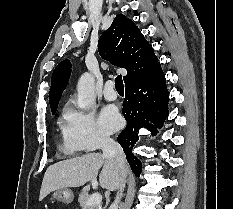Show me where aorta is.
<instances>
[{
  "instance_id": "aorta-1",
  "label": "aorta",
  "mask_w": 233,
  "mask_h": 209,
  "mask_svg": "<svg viewBox=\"0 0 233 209\" xmlns=\"http://www.w3.org/2000/svg\"><path fill=\"white\" fill-rule=\"evenodd\" d=\"M94 77L86 72L79 78L77 84L78 103L83 108L90 107L96 99Z\"/></svg>"
}]
</instances>
